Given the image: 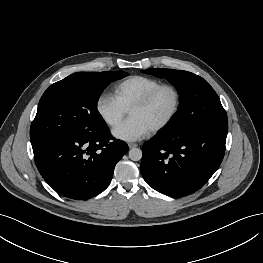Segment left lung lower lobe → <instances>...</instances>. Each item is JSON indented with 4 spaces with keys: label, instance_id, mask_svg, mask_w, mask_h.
I'll list each match as a JSON object with an SVG mask.
<instances>
[{
    "label": "left lung lower lobe",
    "instance_id": "1",
    "mask_svg": "<svg viewBox=\"0 0 263 263\" xmlns=\"http://www.w3.org/2000/svg\"><path fill=\"white\" fill-rule=\"evenodd\" d=\"M228 125L190 133L163 129L143 145L141 173L154 190L183 197L200 189L220 166Z\"/></svg>",
    "mask_w": 263,
    "mask_h": 263
}]
</instances>
